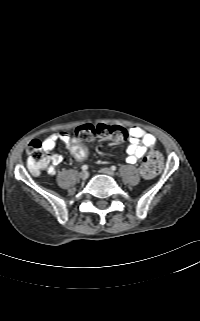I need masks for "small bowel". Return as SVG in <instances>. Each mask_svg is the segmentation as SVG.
Wrapping results in <instances>:
<instances>
[{"instance_id": "small-bowel-1", "label": "small bowel", "mask_w": 200, "mask_h": 321, "mask_svg": "<svg viewBox=\"0 0 200 321\" xmlns=\"http://www.w3.org/2000/svg\"><path fill=\"white\" fill-rule=\"evenodd\" d=\"M129 134V144L126 149L127 157L126 161L129 164H135L139 159H141L148 148L153 147L156 144V138L153 134L147 132L141 127L133 126L128 130ZM57 142H62L68 148L74 143H79L73 139L69 134L65 132L54 133L48 136L42 143L43 148L46 152H50L54 149ZM50 165L47 168L49 175H55L56 166H58L62 161L63 157L60 154H50L48 156Z\"/></svg>"}]
</instances>
